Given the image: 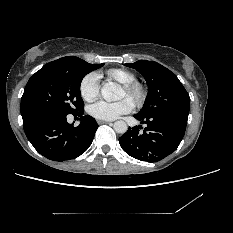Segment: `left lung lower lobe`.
I'll return each mask as SVG.
<instances>
[{
    "mask_svg": "<svg viewBox=\"0 0 233 233\" xmlns=\"http://www.w3.org/2000/svg\"><path fill=\"white\" fill-rule=\"evenodd\" d=\"M134 117L147 127L139 133L137 127L129 128L119 138L121 148L135 159L157 162L179 146L187 125V116L153 115Z\"/></svg>",
    "mask_w": 233,
    "mask_h": 233,
    "instance_id": "0a47b994",
    "label": "left lung lower lobe"
}]
</instances>
